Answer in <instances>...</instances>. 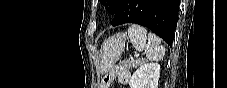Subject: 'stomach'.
Here are the masks:
<instances>
[{
    "mask_svg": "<svg viewBox=\"0 0 227 88\" xmlns=\"http://www.w3.org/2000/svg\"><path fill=\"white\" fill-rule=\"evenodd\" d=\"M126 39V33H117L104 41L99 55L101 73L108 72L115 65L124 51Z\"/></svg>",
    "mask_w": 227,
    "mask_h": 88,
    "instance_id": "stomach-1",
    "label": "stomach"
}]
</instances>
